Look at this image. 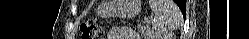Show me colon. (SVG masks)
Masks as SVG:
<instances>
[{"label":"colon","instance_id":"5ec220e1","mask_svg":"<svg viewBox=\"0 0 249 39\" xmlns=\"http://www.w3.org/2000/svg\"><path fill=\"white\" fill-rule=\"evenodd\" d=\"M81 39H98L103 36L104 27L98 20H90L80 25Z\"/></svg>","mask_w":249,"mask_h":39}]
</instances>
